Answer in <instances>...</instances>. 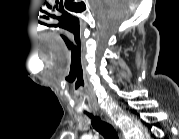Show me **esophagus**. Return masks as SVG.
I'll return each instance as SVG.
<instances>
[{
  "label": "esophagus",
  "instance_id": "34e87169",
  "mask_svg": "<svg viewBox=\"0 0 179 139\" xmlns=\"http://www.w3.org/2000/svg\"><path fill=\"white\" fill-rule=\"evenodd\" d=\"M119 137H120V138L122 137L121 133L119 134Z\"/></svg>",
  "mask_w": 179,
  "mask_h": 139
}]
</instances>
